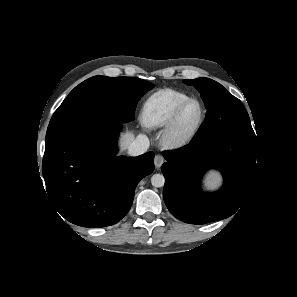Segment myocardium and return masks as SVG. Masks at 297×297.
Instances as JSON below:
<instances>
[{"label": "myocardium", "instance_id": "myocardium-1", "mask_svg": "<svg viewBox=\"0 0 297 297\" xmlns=\"http://www.w3.org/2000/svg\"><path fill=\"white\" fill-rule=\"evenodd\" d=\"M190 103H197L200 108V115L194 126L188 131L182 132L179 129V120L183 110ZM206 118V109L201 101L189 98L182 102L172 114L163 134V141L170 148H180L191 142L199 132Z\"/></svg>", "mask_w": 297, "mask_h": 297}]
</instances>
